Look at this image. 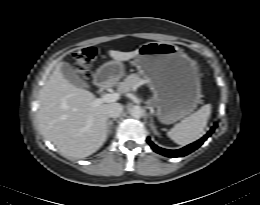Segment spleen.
<instances>
[{"label": "spleen", "mask_w": 260, "mask_h": 205, "mask_svg": "<svg viewBox=\"0 0 260 205\" xmlns=\"http://www.w3.org/2000/svg\"><path fill=\"white\" fill-rule=\"evenodd\" d=\"M211 114V105H203L198 111L176 124L168 136L179 145H187L198 140L204 133Z\"/></svg>", "instance_id": "obj_1"}]
</instances>
